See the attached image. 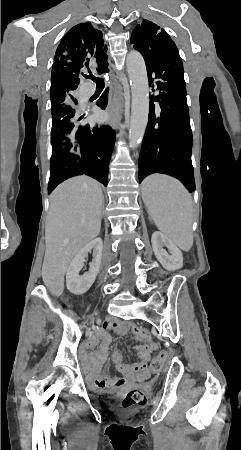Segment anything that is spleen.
I'll use <instances>...</instances> for the list:
<instances>
[{"label": "spleen", "mask_w": 241, "mask_h": 450, "mask_svg": "<svg viewBox=\"0 0 241 450\" xmlns=\"http://www.w3.org/2000/svg\"><path fill=\"white\" fill-rule=\"evenodd\" d=\"M142 200L158 230L168 236L180 250L193 246L192 200L185 186L164 174H152L141 184Z\"/></svg>", "instance_id": "obj_1"}]
</instances>
